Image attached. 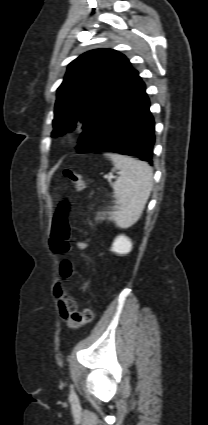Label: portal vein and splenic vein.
<instances>
[{
	"instance_id": "obj_1",
	"label": "portal vein and splenic vein",
	"mask_w": 208,
	"mask_h": 425,
	"mask_svg": "<svg viewBox=\"0 0 208 425\" xmlns=\"http://www.w3.org/2000/svg\"><path fill=\"white\" fill-rule=\"evenodd\" d=\"M106 178L110 180L111 179V176H106Z\"/></svg>"
}]
</instances>
